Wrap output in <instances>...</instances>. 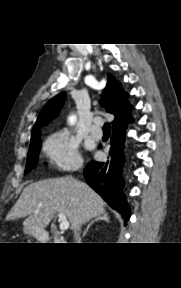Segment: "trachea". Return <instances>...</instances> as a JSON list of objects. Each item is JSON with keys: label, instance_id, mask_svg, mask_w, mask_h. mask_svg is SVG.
<instances>
[{"label": "trachea", "instance_id": "obj_1", "mask_svg": "<svg viewBox=\"0 0 181 288\" xmlns=\"http://www.w3.org/2000/svg\"><path fill=\"white\" fill-rule=\"evenodd\" d=\"M111 126L109 123H105L103 126V131L104 132H110Z\"/></svg>", "mask_w": 181, "mask_h": 288}]
</instances>
